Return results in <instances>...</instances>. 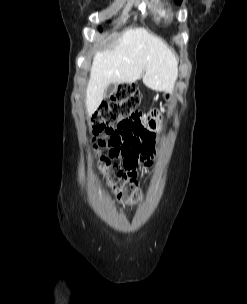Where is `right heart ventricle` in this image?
Listing matches in <instances>:
<instances>
[{
	"mask_svg": "<svg viewBox=\"0 0 247 304\" xmlns=\"http://www.w3.org/2000/svg\"><path fill=\"white\" fill-rule=\"evenodd\" d=\"M153 9L157 20H162L166 17V10L161 2H155Z\"/></svg>",
	"mask_w": 247,
	"mask_h": 304,
	"instance_id": "obj_1",
	"label": "right heart ventricle"
}]
</instances>
